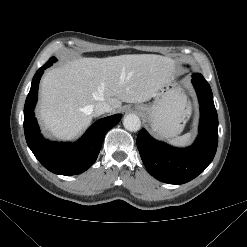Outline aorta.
<instances>
[{"mask_svg": "<svg viewBox=\"0 0 247 247\" xmlns=\"http://www.w3.org/2000/svg\"><path fill=\"white\" fill-rule=\"evenodd\" d=\"M123 125L128 131L137 132L141 127V120L136 114H127L123 119Z\"/></svg>", "mask_w": 247, "mask_h": 247, "instance_id": "762f6f07", "label": "aorta"}]
</instances>
